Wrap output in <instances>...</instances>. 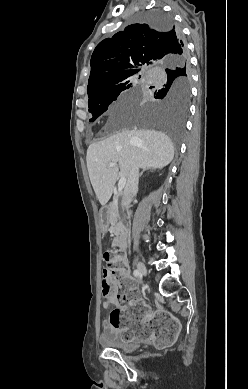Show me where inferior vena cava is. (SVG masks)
Wrapping results in <instances>:
<instances>
[{
    "label": "inferior vena cava",
    "instance_id": "obj_1",
    "mask_svg": "<svg viewBox=\"0 0 248 389\" xmlns=\"http://www.w3.org/2000/svg\"><path fill=\"white\" fill-rule=\"evenodd\" d=\"M139 166L133 165L130 174L128 176L127 184L124 189L123 198H122V207L128 208L132 197L137 194L138 183H139Z\"/></svg>",
    "mask_w": 248,
    "mask_h": 389
}]
</instances>
